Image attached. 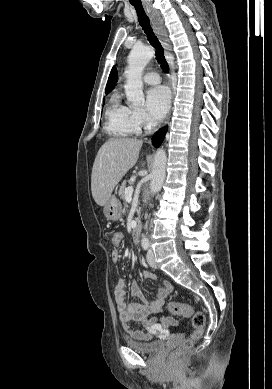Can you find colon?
Returning a JSON list of instances; mask_svg holds the SVG:
<instances>
[{
    "label": "colon",
    "mask_w": 272,
    "mask_h": 389,
    "mask_svg": "<svg viewBox=\"0 0 272 389\" xmlns=\"http://www.w3.org/2000/svg\"><path fill=\"white\" fill-rule=\"evenodd\" d=\"M107 236L114 246H119L122 242V236L118 232H109ZM168 310L172 314L182 317H189L192 315L194 331L190 337L185 339L179 348L170 355L171 364L179 365L191 352L195 341H197L202 336L205 327V316L201 312L193 313V308L189 304L175 301L169 302Z\"/></svg>",
    "instance_id": "1"
}]
</instances>
